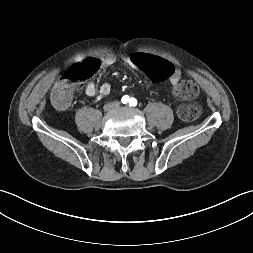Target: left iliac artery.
I'll return each mask as SVG.
<instances>
[{
    "label": "left iliac artery",
    "mask_w": 253,
    "mask_h": 253,
    "mask_svg": "<svg viewBox=\"0 0 253 253\" xmlns=\"http://www.w3.org/2000/svg\"><path fill=\"white\" fill-rule=\"evenodd\" d=\"M130 106H136L137 105V100L135 98H131L129 101Z\"/></svg>",
    "instance_id": "44dca946"
}]
</instances>
